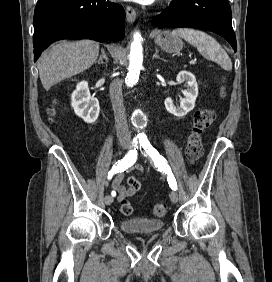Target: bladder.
Wrapping results in <instances>:
<instances>
[{"mask_svg":"<svg viewBox=\"0 0 272 282\" xmlns=\"http://www.w3.org/2000/svg\"><path fill=\"white\" fill-rule=\"evenodd\" d=\"M119 226L120 229L131 234H151L162 230L164 223L156 219L137 218L123 220Z\"/></svg>","mask_w":272,"mask_h":282,"instance_id":"1","label":"bladder"}]
</instances>
